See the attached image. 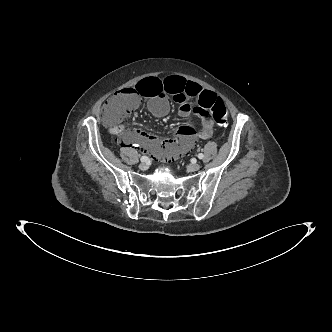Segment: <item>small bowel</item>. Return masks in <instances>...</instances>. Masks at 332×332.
<instances>
[{
    "mask_svg": "<svg viewBox=\"0 0 332 332\" xmlns=\"http://www.w3.org/2000/svg\"><path fill=\"white\" fill-rule=\"evenodd\" d=\"M137 95L147 101V107L155 117H164L170 110V101L179 105V115L188 117L198 115L201 119L200 129L182 126L178 136L172 140H162L139 129L122 130L123 146H139L150 152L157 160H164L166 155L174 150L185 148L188 151L195 139H209L213 135V119L210 105L216 95L203 89L199 84L186 80L178 75L141 77L134 84ZM189 99H197L198 106L192 107Z\"/></svg>",
    "mask_w": 332,
    "mask_h": 332,
    "instance_id": "c3829d8e",
    "label": "small bowel"
}]
</instances>
